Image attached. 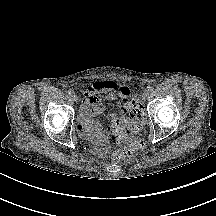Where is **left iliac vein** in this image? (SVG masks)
Segmentation results:
<instances>
[{
    "mask_svg": "<svg viewBox=\"0 0 216 216\" xmlns=\"http://www.w3.org/2000/svg\"><path fill=\"white\" fill-rule=\"evenodd\" d=\"M148 96H149L148 91H145V92L142 94V99H143V100H146V99L148 98Z\"/></svg>",
    "mask_w": 216,
    "mask_h": 216,
    "instance_id": "4c4485c4",
    "label": "left iliac vein"
}]
</instances>
